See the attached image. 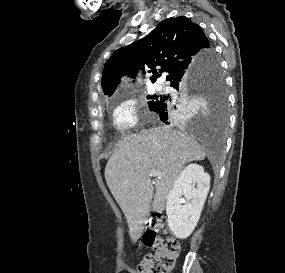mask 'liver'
<instances>
[{"label":"liver","instance_id":"6515ba94","mask_svg":"<svg viewBox=\"0 0 285 273\" xmlns=\"http://www.w3.org/2000/svg\"><path fill=\"white\" fill-rule=\"evenodd\" d=\"M205 156L195 139L165 125L125 136L118 143L106 164L105 179L127 219L134 242L140 237L151 208L164 211L165 201L184 165L204 160ZM152 170L162 174L154 182L150 178Z\"/></svg>","mask_w":285,"mask_h":273}]
</instances>
